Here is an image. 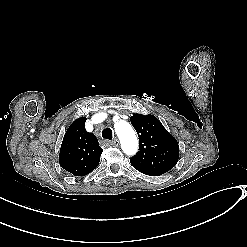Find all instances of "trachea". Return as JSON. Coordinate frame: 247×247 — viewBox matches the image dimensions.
I'll return each mask as SVG.
<instances>
[{"instance_id": "obj_1", "label": "trachea", "mask_w": 247, "mask_h": 247, "mask_svg": "<svg viewBox=\"0 0 247 247\" xmlns=\"http://www.w3.org/2000/svg\"><path fill=\"white\" fill-rule=\"evenodd\" d=\"M102 137L107 140H112L113 138V132L110 128H104L102 130Z\"/></svg>"}]
</instances>
